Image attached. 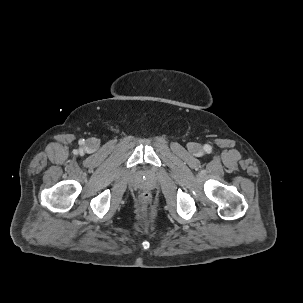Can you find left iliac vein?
<instances>
[{
    "label": "left iliac vein",
    "instance_id": "obj_1",
    "mask_svg": "<svg viewBox=\"0 0 303 303\" xmlns=\"http://www.w3.org/2000/svg\"><path fill=\"white\" fill-rule=\"evenodd\" d=\"M190 150L193 154H199L202 152V147L199 144H193Z\"/></svg>",
    "mask_w": 303,
    "mask_h": 303
}]
</instances>
